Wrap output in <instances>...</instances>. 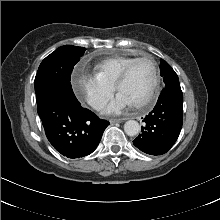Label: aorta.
I'll return each mask as SVG.
<instances>
[{
    "instance_id": "obj_1",
    "label": "aorta",
    "mask_w": 220,
    "mask_h": 220,
    "mask_svg": "<svg viewBox=\"0 0 220 220\" xmlns=\"http://www.w3.org/2000/svg\"><path fill=\"white\" fill-rule=\"evenodd\" d=\"M124 132L128 136H136L140 132V125L135 120H129L124 124Z\"/></svg>"
}]
</instances>
